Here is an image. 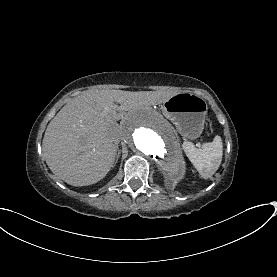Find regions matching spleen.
<instances>
[{
	"instance_id": "obj_1",
	"label": "spleen",
	"mask_w": 277,
	"mask_h": 277,
	"mask_svg": "<svg viewBox=\"0 0 277 277\" xmlns=\"http://www.w3.org/2000/svg\"><path fill=\"white\" fill-rule=\"evenodd\" d=\"M183 150L204 179L211 177L222 161L223 144L220 136H215L212 142L204 143L201 148L186 141L183 143Z\"/></svg>"
}]
</instances>
